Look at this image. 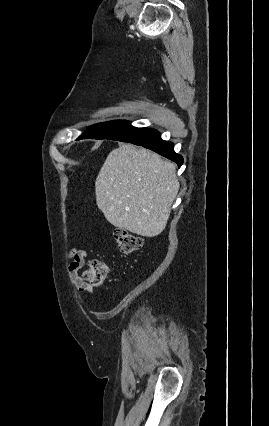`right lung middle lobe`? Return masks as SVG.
I'll use <instances>...</instances> for the list:
<instances>
[{"mask_svg": "<svg viewBox=\"0 0 269 426\" xmlns=\"http://www.w3.org/2000/svg\"><path fill=\"white\" fill-rule=\"evenodd\" d=\"M136 129L127 121H110L89 127L79 138L118 140L127 137Z\"/></svg>", "mask_w": 269, "mask_h": 426, "instance_id": "1", "label": "right lung middle lobe"}]
</instances>
